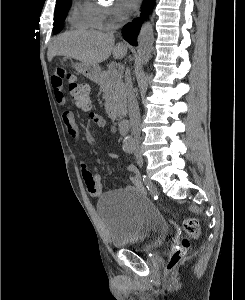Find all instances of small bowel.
Here are the masks:
<instances>
[{"label": "small bowel", "instance_id": "c3829d8e", "mask_svg": "<svg viewBox=\"0 0 245 300\" xmlns=\"http://www.w3.org/2000/svg\"><path fill=\"white\" fill-rule=\"evenodd\" d=\"M51 84L54 91V97L59 105H64L66 102L65 95L63 93V80L54 73L51 78ZM90 120L99 128L102 129L105 127V120L103 117L96 113L91 112L89 114ZM62 120L67 128L69 135L72 138H78L79 136V127L75 120L74 114L69 111L65 110L62 114ZM107 156L111 159H118L119 155L114 152L107 153ZM82 168V178L84 180L85 186L89 194L93 198H99L102 195V185H101V178L97 172L96 167L90 168L85 162L81 164ZM130 175L131 185L129 189L135 191H143L142 179L139 172L132 166L128 168Z\"/></svg>", "mask_w": 245, "mask_h": 300}]
</instances>
